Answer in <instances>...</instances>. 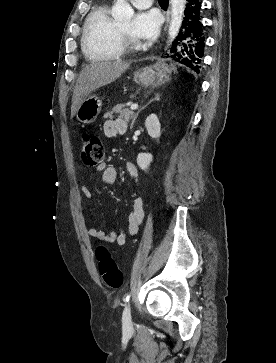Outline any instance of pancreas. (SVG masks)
<instances>
[{"instance_id":"1","label":"pancreas","mask_w":276,"mask_h":363,"mask_svg":"<svg viewBox=\"0 0 276 363\" xmlns=\"http://www.w3.org/2000/svg\"><path fill=\"white\" fill-rule=\"evenodd\" d=\"M129 104H117L116 106H114L112 108L111 111L107 112L105 114V117L108 118H112L113 117V114H119V117L120 118H123L125 121H129L133 115H134V112L131 111L129 108H128Z\"/></svg>"}]
</instances>
